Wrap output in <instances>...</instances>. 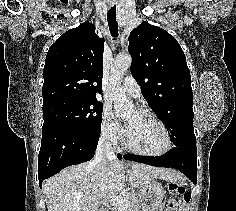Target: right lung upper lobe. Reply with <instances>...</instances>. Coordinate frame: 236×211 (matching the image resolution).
Here are the masks:
<instances>
[{"label": "right lung upper lobe", "instance_id": "cb5924a9", "mask_svg": "<svg viewBox=\"0 0 236 211\" xmlns=\"http://www.w3.org/2000/svg\"><path fill=\"white\" fill-rule=\"evenodd\" d=\"M103 40L84 22L65 32L48 50L43 104L63 98L95 99L102 94Z\"/></svg>", "mask_w": 236, "mask_h": 211}]
</instances>
